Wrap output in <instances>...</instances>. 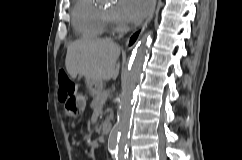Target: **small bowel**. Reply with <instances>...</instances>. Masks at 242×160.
<instances>
[{"instance_id": "obj_1", "label": "small bowel", "mask_w": 242, "mask_h": 160, "mask_svg": "<svg viewBox=\"0 0 242 160\" xmlns=\"http://www.w3.org/2000/svg\"><path fill=\"white\" fill-rule=\"evenodd\" d=\"M80 99H81V104H80V106H79V108L77 110V113L82 112L84 110V107H85L84 98L83 97H80Z\"/></svg>"}]
</instances>
